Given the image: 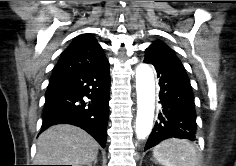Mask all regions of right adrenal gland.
I'll list each match as a JSON object with an SVG mask.
<instances>
[{
	"label": "right adrenal gland",
	"instance_id": "2a0ac1e0",
	"mask_svg": "<svg viewBox=\"0 0 236 166\" xmlns=\"http://www.w3.org/2000/svg\"><path fill=\"white\" fill-rule=\"evenodd\" d=\"M96 163H97V159L94 160V166L96 165ZM88 166H92V164H90Z\"/></svg>",
	"mask_w": 236,
	"mask_h": 166
}]
</instances>
